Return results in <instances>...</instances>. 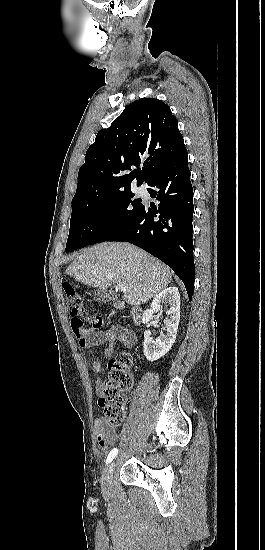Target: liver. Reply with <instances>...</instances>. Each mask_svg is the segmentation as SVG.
<instances>
[{
	"mask_svg": "<svg viewBox=\"0 0 265 550\" xmlns=\"http://www.w3.org/2000/svg\"><path fill=\"white\" fill-rule=\"evenodd\" d=\"M66 273L81 283L107 289L124 284L123 299L130 305H141L171 281L168 266L144 250L122 242H103L84 249L67 267Z\"/></svg>",
	"mask_w": 265,
	"mask_h": 550,
	"instance_id": "obj_1",
	"label": "liver"
}]
</instances>
